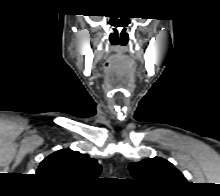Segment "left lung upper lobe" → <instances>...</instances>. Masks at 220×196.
<instances>
[{
	"instance_id": "5c2ea615",
	"label": "left lung upper lobe",
	"mask_w": 220,
	"mask_h": 196,
	"mask_svg": "<svg viewBox=\"0 0 220 196\" xmlns=\"http://www.w3.org/2000/svg\"><path fill=\"white\" fill-rule=\"evenodd\" d=\"M129 169L136 181L150 187L176 189L187 183L183 174L163 158L131 163Z\"/></svg>"
}]
</instances>
